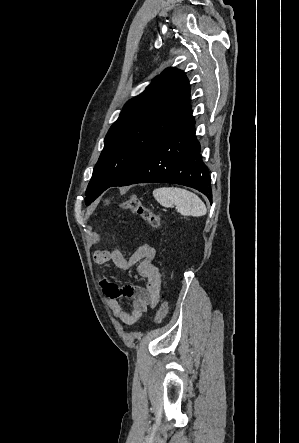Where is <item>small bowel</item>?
Returning a JSON list of instances; mask_svg holds the SVG:
<instances>
[{"label":"small bowel","mask_w":299,"mask_h":443,"mask_svg":"<svg viewBox=\"0 0 299 443\" xmlns=\"http://www.w3.org/2000/svg\"><path fill=\"white\" fill-rule=\"evenodd\" d=\"M156 250L150 245L140 246L129 258L116 247L98 250L94 253V261L104 264L112 261L121 270H130L137 266L138 273L146 280V286L118 284L99 274L98 282L114 316L127 325H135L149 306L154 307L158 300L162 285V274L154 264ZM131 300L129 309H124L120 299Z\"/></svg>","instance_id":"1"}]
</instances>
